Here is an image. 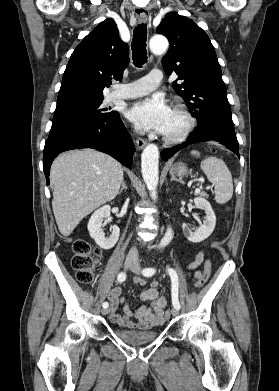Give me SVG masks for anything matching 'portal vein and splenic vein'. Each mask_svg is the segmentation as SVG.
<instances>
[{"label": "portal vein and splenic vein", "mask_w": 279, "mask_h": 391, "mask_svg": "<svg viewBox=\"0 0 279 391\" xmlns=\"http://www.w3.org/2000/svg\"><path fill=\"white\" fill-rule=\"evenodd\" d=\"M200 192H201V188H196V189H195V193H196V194H199Z\"/></svg>", "instance_id": "18ae733b"}]
</instances>
